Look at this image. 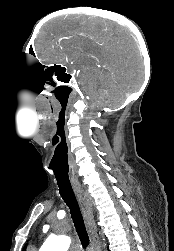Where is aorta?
<instances>
[{
	"label": "aorta",
	"instance_id": "obj_1",
	"mask_svg": "<svg viewBox=\"0 0 174 251\" xmlns=\"http://www.w3.org/2000/svg\"><path fill=\"white\" fill-rule=\"evenodd\" d=\"M70 243L68 236H53L44 242L39 251H67Z\"/></svg>",
	"mask_w": 174,
	"mask_h": 251
}]
</instances>
